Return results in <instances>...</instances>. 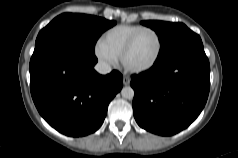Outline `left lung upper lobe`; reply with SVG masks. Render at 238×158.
<instances>
[{
	"label": "left lung upper lobe",
	"instance_id": "1",
	"mask_svg": "<svg viewBox=\"0 0 238 158\" xmlns=\"http://www.w3.org/2000/svg\"><path fill=\"white\" fill-rule=\"evenodd\" d=\"M141 24L153 29L159 37L162 47L157 59L166 56L181 46L201 40L199 35L191 31L183 23L142 21Z\"/></svg>",
	"mask_w": 238,
	"mask_h": 158
}]
</instances>
